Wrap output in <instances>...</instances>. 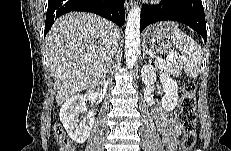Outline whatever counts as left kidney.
<instances>
[{
  "label": "left kidney",
  "mask_w": 231,
  "mask_h": 151,
  "mask_svg": "<svg viewBox=\"0 0 231 151\" xmlns=\"http://www.w3.org/2000/svg\"><path fill=\"white\" fill-rule=\"evenodd\" d=\"M159 68L149 64H145L141 70L142 81L145 84H153L156 81L157 74H159ZM160 81L165 93L162 98V107L166 112H170L178 105V84L168 74L160 71Z\"/></svg>",
  "instance_id": "1"
}]
</instances>
